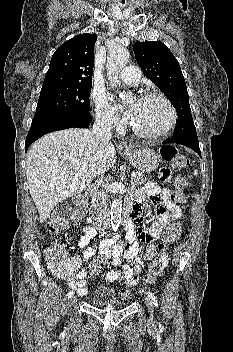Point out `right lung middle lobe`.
I'll return each instance as SVG.
<instances>
[{"instance_id": "dd1d6c3e", "label": "right lung middle lobe", "mask_w": 233, "mask_h": 352, "mask_svg": "<svg viewBox=\"0 0 233 352\" xmlns=\"http://www.w3.org/2000/svg\"><path fill=\"white\" fill-rule=\"evenodd\" d=\"M91 86L42 87L33 121L51 116L88 114Z\"/></svg>"}]
</instances>
